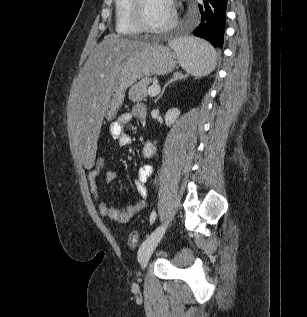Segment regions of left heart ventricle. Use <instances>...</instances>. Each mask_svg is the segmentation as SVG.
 <instances>
[{
	"instance_id": "b2bd125f",
	"label": "left heart ventricle",
	"mask_w": 307,
	"mask_h": 317,
	"mask_svg": "<svg viewBox=\"0 0 307 317\" xmlns=\"http://www.w3.org/2000/svg\"><path fill=\"white\" fill-rule=\"evenodd\" d=\"M173 6L169 0H146L144 17L146 22L153 27L165 25L172 16Z\"/></svg>"
}]
</instances>
